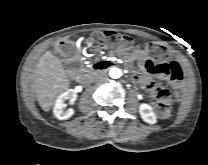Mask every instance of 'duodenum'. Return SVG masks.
Returning <instances> with one entry per match:
<instances>
[{"mask_svg": "<svg viewBox=\"0 0 208 165\" xmlns=\"http://www.w3.org/2000/svg\"><path fill=\"white\" fill-rule=\"evenodd\" d=\"M109 66L110 64L106 62L96 63L90 73H86L80 77V83L84 85L90 83L94 75L98 74L100 71L106 70Z\"/></svg>", "mask_w": 208, "mask_h": 165, "instance_id": "1", "label": "duodenum"}]
</instances>
